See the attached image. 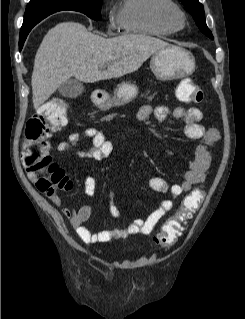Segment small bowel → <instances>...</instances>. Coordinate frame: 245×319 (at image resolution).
Listing matches in <instances>:
<instances>
[{
	"instance_id": "1",
	"label": "small bowel",
	"mask_w": 245,
	"mask_h": 319,
	"mask_svg": "<svg viewBox=\"0 0 245 319\" xmlns=\"http://www.w3.org/2000/svg\"><path fill=\"white\" fill-rule=\"evenodd\" d=\"M190 82V79H184L180 85ZM151 116H155L158 121L165 120L167 116H171L175 120H182L185 123L184 134L188 139L203 140L197 147L195 155L188 162V168L183 173V181L179 184L169 186L168 183L160 177L150 178L148 185L153 191L170 192L172 199L161 201L159 206L152 211L147 218L135 219L122 229L112 231L103 230L92 233L85 225L92 216V207L89 204H85L78 209L63 208L62 213L69 219L77 236L84 243H103L108 242L113 238L124 239L135 234H150L164 215L173 208L174 200L204 181L212 158L210 147L212 143L217 140L218 133L213 129H207L200 124L203 117L201 110L196 107L185 108L182 106L169 110L166 107L152 108L149 105H144L137 113L139 121H146ZM135 134L137 135V133ZM82 137L91 139L92 147L85 151H77V155L81 158L100 161L108 157L113 151L111 142L100 130L93 127H87L82 132L70 133L67 140L58 143L57 150L59 152L72 150ZM28 175L33 181H36L35 174L28 173ZM83 184L86 195L92 197L95 194L97 179L94 176H85L83 178ZM49 197L55 204H61V201L56 194ZM108 197L111 215L120 218L121 214L114 202L113 190L109 191Z\"/></svg>"
}]
</instances>
